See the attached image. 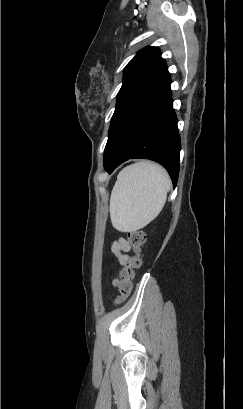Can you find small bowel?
Wrapping results in <instances>:
<instances>
[{
	"instance_id": "1",
	"label": "small bowel",
	"mask_w": 243,
	"mask_h": 409,
	"mask_svg": "<svg viewBox=\"0 0 243 409\" xmlns=\"http://www.w3.org/2000/svg\"><path fill=\"white\" fill-rule=\"evenodd\" d=\"M111 250L113 254L118 258L119 262L124 264V262L127 259L126 253L130 250V246L125 239L121 238L119 239V241L114 242L112 244ZM117 283H118V280L115 279L113 281V284L116 285Z\"/></svg>"
}]
</instances>
